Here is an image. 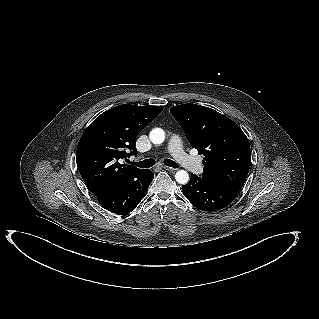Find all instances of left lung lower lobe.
I'll list each match as a JSON object with an SVG mask.
<instances>
[{
	"mask_svg": "<svg viewBox=\"0 0 319 319\" xmlns=\"http://www.w3.org/2000/svg\"><path fill=\"white\" fill-rule=\"evenodd\" d=\"M184 196L199 210L217 211L228 206L238 193L191 174L188 184L182 186Z\"/></svg>",
	"mask_w": 319,
	"mask_h": 319,
	"instance_id": "obj_1",
	"label": "left lung lower lobe"
}]
</instances>
